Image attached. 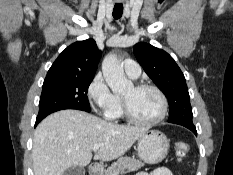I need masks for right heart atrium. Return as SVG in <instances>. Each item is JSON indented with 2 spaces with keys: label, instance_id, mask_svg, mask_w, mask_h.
I'll return each instance as SVG.
<instances>
[{
  "label": "right heart atrium",
  "instance_id": "1",
  "mask_svg": "<svg viewBox=\"0 0 233 175\" xmlns=\"http://www.w3.org/2000/svg\"><path fill=\"white\" fill-rule=\"evenodd\" d=\"M87 97L95 110L99 113H106L115 102V95L101 74H97L87 88Z\"/></svg>",
  "mask_w": 233,
  "mask_h": 175
}]
</instances>
